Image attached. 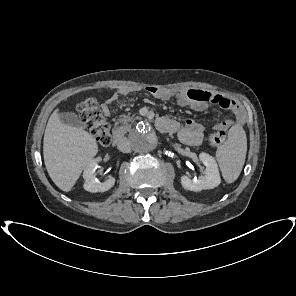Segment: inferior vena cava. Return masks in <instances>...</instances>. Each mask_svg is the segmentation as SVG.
Masks as SVG:
<instances>
[{
	"label": "inferior vena cava",
	"instance_id": "602c4592",
	"mask_svg": "<svg viewBox=\"0 0 296 296\" xmlns=\"http://www.w3.org/2000/svg\"><path fill=\"white\" fill-rule=\"evenodd\" d=\"M118 149L122 152L128 153L131 150L130 141L127 138H122L118 144Z\"/></svg>",
	"mask_w": 296,
	"mask_h": 296
}]
</instances>
